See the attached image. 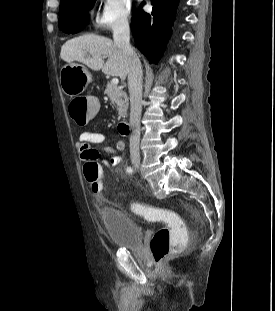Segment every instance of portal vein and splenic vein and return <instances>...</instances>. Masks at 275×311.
Segmentation results:
<instances>
[{
  "instance_id": "obj_1",
  "label": "portal vein and splenic vein",
  "mask_w": 275,
  "mask_h": 311,
  "mask_svg": "<svg viewBox=\"0 0 275 311\" xmlns=\"http://www.w3.org/2000/svg\"><path fill=\"white\" fill-rule=\"evenodd\" d=\"M111 83L117 85L119 83V79L115 77L111 80Z\"/></svg>"
}]
</instances>
